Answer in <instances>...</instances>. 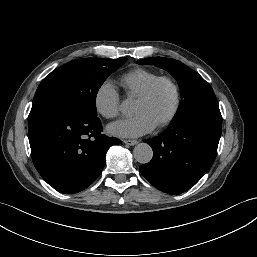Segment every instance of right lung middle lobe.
<instances>
[{
  "instance_id": "dd1d6c3e",
  "label": "right lung middle lobe",
  "mask_w": 257,
  "mask_h": 257,
  "mask_svg": "<svg viewBox=\"0 0 257 257\" xmlns=\"http://www.w3.org/2000/svg\"><path fill=\"white\" fill-rule=\"evenodd\" d=\"M127 58H85L52 71L40 83L31 111L56 110L82 116H97L96 95L108 76Z\"/></svg>"
}]
</instances>
